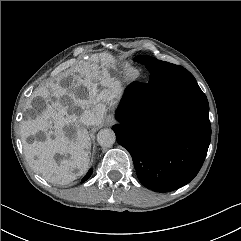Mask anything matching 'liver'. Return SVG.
I'll use <instances>...</instances> for the list:
<instances>
[{
	"mask_svg": "<svg viewBox=\"0 0 241 241\" xmlns=\"http://www.w3.org/2000/svg\"><path fill=\"white\" fill-rule=\"evenodd\" d=\"M113 62L114 58L109 54L93 55L88 62L71 70L63 86L61 79H57L56 83L49 84V90L40 89L35 95L44 100L45 107L35 110V118L22 121L21 140L31 167L45 180L65 185L88 169L90 137L80 122L81 113L75 108L94 112L93 125L101 124L106 106L115 104L114 100L122 91L119 81L108 71ZM80 88H86L84 96H80ZM29 108L34 109L32 105ZM39 132L45 134L44 141L27 142L28 137ZM56 154L65 157L57 163Z\"/></svg>",
	"mask_w": 241,
	"mask_h": 241,
	"instance_id": "1",
	"label": "liver"
}]
</instances>
